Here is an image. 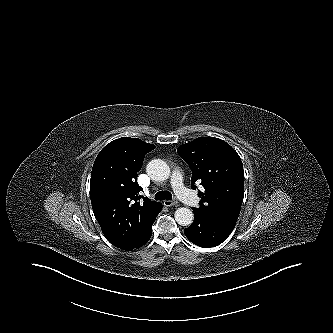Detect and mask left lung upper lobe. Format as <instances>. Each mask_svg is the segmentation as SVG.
<instances>
[{
    "label": "left lung upper lobe",
    "instance_id": "left-lung-upper-lobe-1",
    "mask_svg": "<svg viewBox=\"0 0 333 333\" xmlns=\"http://www.w3.org/2000/svg\"><path fill=\"white\" fill-rule=\"evenodd\" d=\"M192 171L191 187L198 182L200 207L196 208L235 226L244 197V171L237 152L225 141L199 137L177 149Z\"/></svg>",
    "mask_w": 333,
    "mask_h": 333
}]
</instances>
